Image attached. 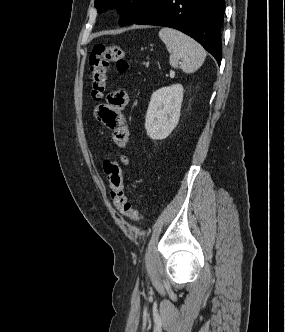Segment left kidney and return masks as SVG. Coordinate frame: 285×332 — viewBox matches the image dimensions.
Here are the masks:
<instances>
[{"label":"left kidney","mask_w":285,"mask_h":332,"mask_svg":"<svg viewBox=\"0 0 285 332\" xmlns=\"http://www.w3.org/2000/svg\"><path fill=\"white\" fill-rule=\"evenodd\" d=\"M183 91L181 84H174L162 87L152 94L145 118V129L151 139H165L177 126Z\"/></svg>","instance_id":"obj_1"}]
</instances>
